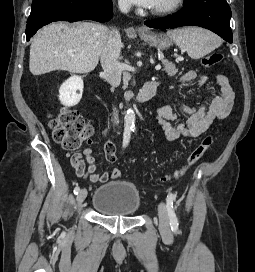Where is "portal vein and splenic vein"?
<instances>
[{"mask_svg":"<svg viewBox=\"0 0 255 272\" xmlns=\"http://www.w3.org/2000/svg\"><path fill=\"white\" fill-rule=\"evenodd\" d=\"M155 69H156L157 71L160 70V69H161V65H160V64L156 65V66H155Z\"/></svg>","mask_w":255,"mask_h":272,"instance_id":"obj_1","label":"portal vein and splenic vein"}]
</instances>
